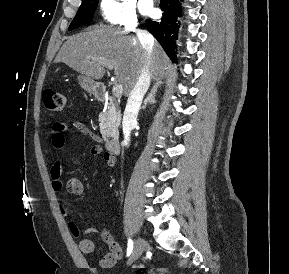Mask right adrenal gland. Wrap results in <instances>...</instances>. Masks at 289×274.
<instances>
[{
	"label": "right adrenal gland",
	"instance_id": "1",
	"mask_svg": "<svg viewBox=\"0 0 289 274\" xmlns=\"http://www.w3.org/2000/svg\"><path fill=\"white\" fill-rule=\"evenodd\" d=\"M162 82H156L150 93L146 97L143 106L141 107L143 110L146 108L147 104L156 103L155 95L157 93L158 88L161 86Z\"/></svg>",
	"mask_w": 289,
	"mask_h": 274
}]
</instances>
